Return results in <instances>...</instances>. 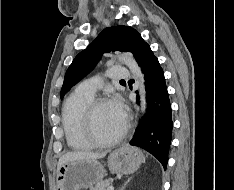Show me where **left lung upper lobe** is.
I'll return each mask as SVG.
<instances>
[{
  "label": "left lung upper lobe",
  "mask_w": 234,
  "mask_h": 190,
  "mask_svg": "<svg viewBox=\"0 0 234 190\" xmlns=\"http://www.w3.org/2000/svg\"><path fill=\"white\" fill-rule=\"evenodd\" d=\"M144 44L146 42L141 35L131 27L113 26L104 29L85 50L75 57L67 69L61 98L95 67L103 53L131 52L135 57Z\"/></svg>",
  "instance_id": "obj_1"
}]
</instances>
